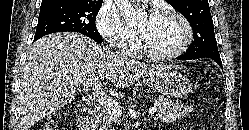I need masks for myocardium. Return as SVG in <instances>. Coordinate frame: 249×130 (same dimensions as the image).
Returning <instances> with one entry per match:
<instances>
[{"instance_id":"1","label":"myocardium","mask_w":249,"mask_h":130,"mask_svg":"<svg viewBox=\"0 0 249 130\" xmlns=\"http://www.w3.org/2000/svg\"><path fill=\"white\" fill-rule=\"evenodd\" d=\"M158 15L172 17V18L177 19L182 24L183 29H184L183 39L174 49L167 51V52L158 53V52L151 51L146 46L142 36H140V39H139L140 50L146 57L152 60L161 61V60H168V59L178 57L189 47V45L191 44L193 40L192 26L185 16H183L182 14H180L179 12L175 10H171V9L164 10L160 12Z\"/></svg>"}]
</instances>
